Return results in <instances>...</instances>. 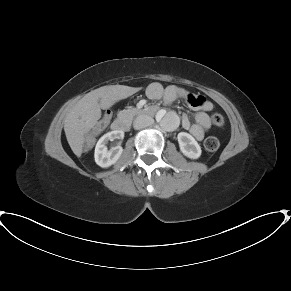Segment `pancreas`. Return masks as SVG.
<instances>
[{
    "label": "pancreas",
    "mask_w": 291,
    "mask_h": 291,
    "mask_svg": "<svg viewBox=\"0 0 291 291\" xmlns=\"http://www.w3.org/2000/svg\"><path fill=\"white\" fill-rule=\"evenodd\" d=\"M140 114V111L136 108H131V109H128V110H123V111H120L118 113V117L120 119H128V120H132L134 118V116Z\"/></svg>",
    "instance_id": "obj_1"
}]
</instances>
